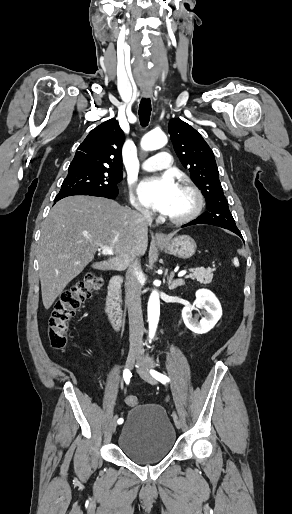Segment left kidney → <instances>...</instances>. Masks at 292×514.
<instances>
[{"label":"left kidney","mask_w":292,"mask_h":514,"mask_svg":"<svg viewBox=\"0 0 292 514\" xmlns=\"http://www.w3.org/2000/svg\"><path fill=\"white\" fill-rule=\"evenodd\" d=\"M195 306H200L204 318L198 322V316L192 318ZM222 316V308L219 300L210 290H197L196 300L192 306H185L182 310V318L185 326L194 334H207L214 328Z\"/></svg>","instance_id":"5707ae66"}]
</instances>
